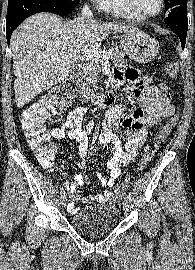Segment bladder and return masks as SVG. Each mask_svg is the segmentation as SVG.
<instances>
[{
	"label": "bladder",
	"instance_id": "1",
	"mask_svg": "<svg viewBox=\"0 0 195 270\" xmlns=\"http://www.w3.org/2000/svg\"><path fill=\"white\" fill-rule=\"evenodd\" d=\"M120 210L115 204L88 206L71 218L74 228L80 232L97 236L113 230L119 223Z\"/></svg>",
	"mask_w": 195,
	"mask_h": 270
}]
</instances>
